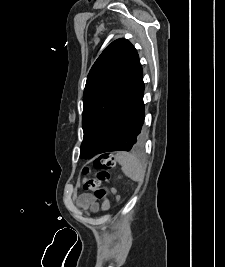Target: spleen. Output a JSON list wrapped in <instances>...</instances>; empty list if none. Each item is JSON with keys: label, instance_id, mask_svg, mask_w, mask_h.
<instances>
[{"label": "spleen", "instance_id": "1", "mask_svg": "<svg viewBox=\"0 0 225 267\" xmlns=\"http://www.w3.org/2000/svg\"><path fill=\"white\" fill-rule=\"evenodd\" d=\"M116 160L121 165L122 172L131 180L140 182L144 179L145 168L140 160L128 152H119Z\"/></svg>", "mask_w": 225, "mask_h": 267}]
</instances>
